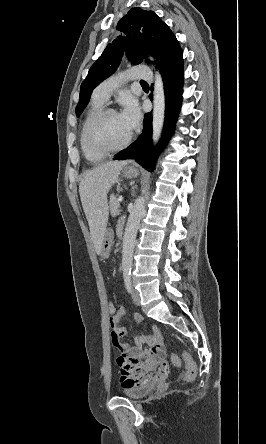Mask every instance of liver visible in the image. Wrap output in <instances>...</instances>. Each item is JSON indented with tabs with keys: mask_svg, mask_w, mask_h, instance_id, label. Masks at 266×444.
Instances as JSON below:
<instances>
[{
	"mask_svg": "<svg viewBox=\"0 0 266 444\" xmlns=\"http://www.w3.org/2000/svg\"><path fill=\"white\" fill-rule=\"evenodd\" d=\"M127 163V161H113L97 166L86 172L79 184L81 203L97 254L101 253L108 222L107 194Z\"/></svg>",
	"mask_w": 266,
	"mask_h": 444,
	"instance_id": "liver-1",
	"label": "liver"
}]
</instances>
